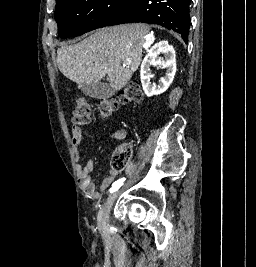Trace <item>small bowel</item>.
<instances>
[{"instance_id": "obj_1", "label": "small bowel", "mask_w": 256, "mask_h": 267, "mask_svg": "<svg viewBox=\"0 0 256 267\" xmlns=\"http://www.w3.org/2000/svg\"><path fill=\"white\" fill-rule=\"evenodd\" d=\"M72 144L75 148V158L79 163V148L83 143V135L78 125L73 124L71 128ZM109 140L122 141V136L109 137ZM94 165L91 159H87L85 165L78 164L77 175L80 181V187L83 192L91 199L97 200L101 197V193L106 191L115 181L118 171L112 169L109 174L103 179L100 185V189L97 190L91 179L90 173L93 171Z\"/></svg>"}]
</instances>
